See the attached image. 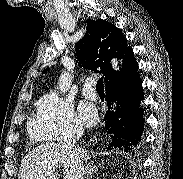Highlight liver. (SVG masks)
I'll return each mask as SVG.
<instances>
[{
  "mask_svg": "<svg viewBox=\"0 0 183 179\" xmlns=\"http://www.w3.org/2000/svg\"><path fill=\"white\" fill-rule=\"evenodd\" d=\"M82 160L90 157L86 150L78 148ZM62 166L63 179H75L73 158L59 144H41L29 151L22 159L18 179H58L56 168Z\"/></svg>",
  "mask_w": 183,
  "mask_h": 179,
  "instance_id": "obj_1",
  "label": "liver"
}]
</instances>
